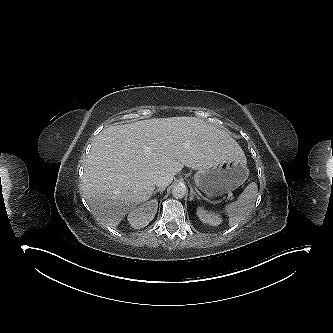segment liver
I'll return each mask as SVG.
<instances>
[{
    "label": "liver",
    "mask_w": 333,
    "mask_h": 333,
    "mask_svg": "<svg viewBox=\"0 0 333 333\" xmlns=\"http://www.w3.org/2000/svg\"><path fill=\"white\" fill-rule=\"evenodd\" d=\"M236 159L244 152L229 133L196 117L109 126L92 143L81 190L96 219L115 228L151 198L158 176Z\"/></svg>",
    "instance_id": "1"
}]
</instances>
